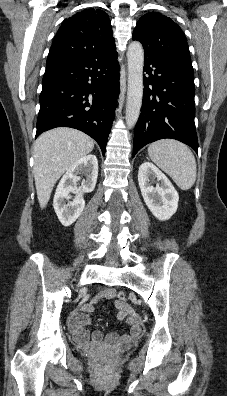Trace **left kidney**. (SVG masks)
Masks as SVG:
<instances>
[{"mask_svg":"<svg viewBox=\"0 0 227 396\" xmlns=\"http://www.w3.org/2000/svg\"><path fill=\"white\" fill-rule=\"evenodd\" d=\"M155 179L160 182L156 187L152 186ZM138 182L152 214L161 221L170 219L177 211L179 196L167 176L151 162H144L139 167Z\"/></svg>","mask_w":227,"mask_h":396,"instance_id":"obj_1","label":"left kidney"}]
</instances>
